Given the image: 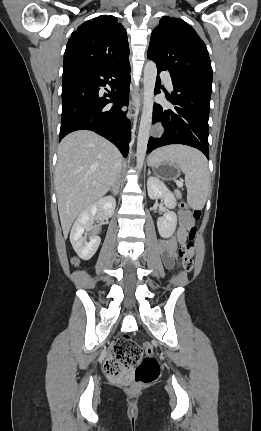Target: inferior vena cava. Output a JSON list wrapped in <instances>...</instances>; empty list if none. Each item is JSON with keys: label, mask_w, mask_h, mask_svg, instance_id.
I'll return each instance as SVG.
<instances>
[{"label": "inferior vena cava", "mask_w": 261, "mask_h": 431, "mask_svg": "<svg viewBox=\"0 0 261 431\" xmlns=\"http://www.w3.org/2000/svg\"><path fill=\"white\" fill-rule=\"evenodd\" d=\"M119 173V172H118ZM118 181H119V175L117 174V176L115 177V179H114V183H113V186L112 187H116L117 186V184H118Z\"/></svg>", "instance_id": "1"}]
</instances>
